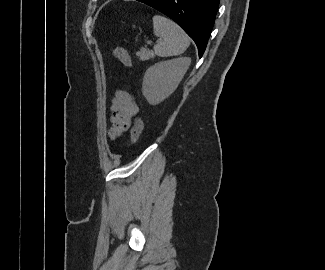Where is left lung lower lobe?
Returning a JSON list of instances; mask_svg holds the SVG:
<instances>
[{
	"label": "left lung lower lobe",
	"mask_w": 325,
	"mask_h": 270,
	"mask_svg": "<svg viewBox=\"0 0 325 270\" xmlns=\"http://www.w3.org/2000/svg\"><path fill=\"white\" fill-rule=\"evenodd\" d=\"M174 20L196 43L201 58L219 6V0H137Z\"/></svg>",
	"instance_id": "1"
}]
</instances>
